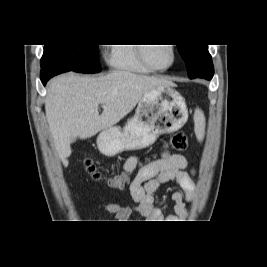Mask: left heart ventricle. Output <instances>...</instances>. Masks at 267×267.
Returning a JSON list of instances; mask_svg holds the SVG:
<instances>
[{
  "mask_svg": "<svg viewBox=\"0 0 267 267\" xmlns=\"http://www.w3.org/2000/svg\"><path fill=\"white\" fill-rule=\"evenodd\" d=\"M149 60L156 67H166L172 59V52L167 44L150 46L147 51Z\"/></svg>",
  "mask_w": 267,
  "mask_h": 267,
  "instance_id": "obj_1",
  "label": "left heart ventricle"
}]
</instances>
